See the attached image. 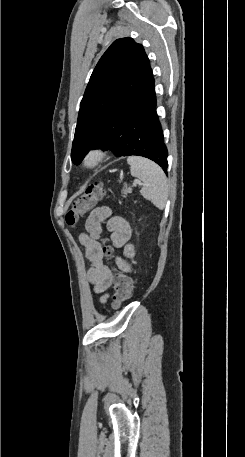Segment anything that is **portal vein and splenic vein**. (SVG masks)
Instances as JSON below:
<instances>
[{
  "label": "portal vein and splenic vein",
  "mask_w": 245,
  "mask_h": 457,
  "mask_svg": "<svg viewBox=\"0 0 245 457\" xmlns=\"http://www.w3.org/2000/svg\"><path fill=\"white\" fill-rule=\"evenodd\" d=\"M134 184H141V180H138V178H134Z\"/></svg>",
  "instance_id": "obj_1"
}]
</instances>
